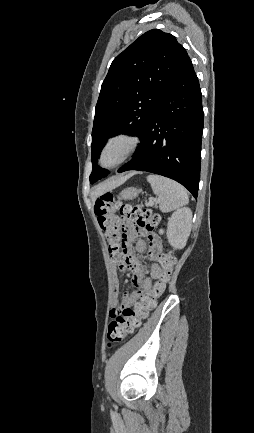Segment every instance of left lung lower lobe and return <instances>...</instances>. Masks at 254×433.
Wrapping results in <instances>:
<instances>
[{"label": "left lung lower lobe", "mask_w": 254, "mask_h": 433, "mask_svg": "<svg viewBox=\"0 0 254 433\" xmlns=\"http://www.w3.org/2000/svg\"><path fill=\"white\" fill-rule=\"evenodd\" d=\"M202 133L201 89L187 55L147 123L134 157L118 172L159 174L181 183L197 198Z\"/></svg>", "instance_id": "left-lung-lower-lobe-1"}]
</instances>
